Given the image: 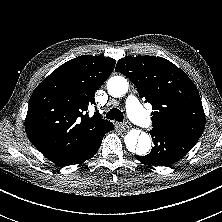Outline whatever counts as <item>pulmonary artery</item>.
<instances>
[{
    "mask_svg": "<svg viewBox=\"0 0 222 222\" xmlns=\"http://www.w3.org/2000/svg\"><path fill=\"white\" fill-rule=\"evenodd\" d=\"M126 107L130 117L135 123L141 127L148 129L150 128L151 122L150 118L145 112V110L139 105L138 101L134 97H128L126 99Z\"/></svg>",
    "mask_w": 222,
    "mask_h": 222,
    "instance_id": "pulmonary-artery-1",
    "label": "pulmonary artery"
}]
</instances>
